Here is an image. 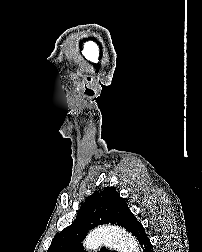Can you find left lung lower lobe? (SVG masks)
I'll return each instance as SVG.
<instances>
[{
	"label": "left lung lower lobe",
	"mask_w": 202,
	"mask_h": 252,
	"mask_svg": "<svg viewBox=\"0 0 202 252\" xmlns=\"http://www.w3.org/2000/svg\"><path fill=\"white\" fill-rule=\"evenodd\" d=\"M130 233H132V235H134L137 238L144 252H153V247L151 245L149 238L147 237V234L145 233L142 224L137 222L132 227Z\"/></svg>",
	"instance_id": "1"
}]
</instances>
